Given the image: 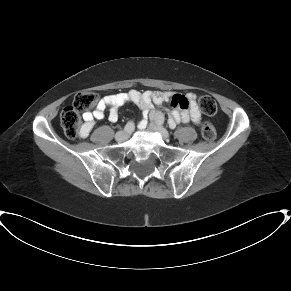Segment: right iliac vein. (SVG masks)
Wrapping results in <instances>:
<instances>
[{"label":"right iliac vein","mask_w":291,"mask_h":291,"mask_svg":"<svg viewBox=\"0 0 291 291\" xmlns=\"http://www.w3.org/2000/svg\"><path fill=\"white\" fill-rule=\"evenodd\" d=\"M128 138V133L126 131H119L115 135V139L119 142H123Z\"/></svg>","instance_id":"right-iliac-vein-1"}]
</instances>
